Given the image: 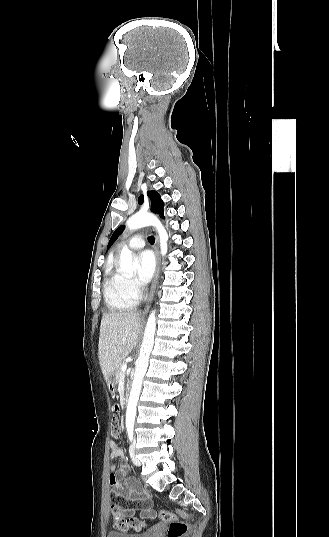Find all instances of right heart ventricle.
Returning a JSON list of instances; mask_svg holds the SVG:
<instances>
[{
    "mask_svg": "<svg viewBox=\"0 0 329 537\" xmlns=\"http://www.w3.org/2000/svg\"><path fill=\"white\" fill-rule=\"evenodd\" d=\"M104 298L111 312H122L133 308L137 300L133 299L125 288V277L109 264L105 270L103 283Z\"/></svg>",
    "mask_w": 329,
    "mask_h": 537,
    "instance_id": "obj_1",
    "label": "right heart ventricle"
}]
</instances>
